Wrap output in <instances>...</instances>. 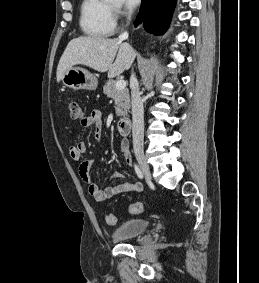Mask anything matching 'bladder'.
<instances>
[{"label":"bladder","instance_id":"31cf9c89","mask_svg":"<svg viewBox=\"0 0 259 283\" xmlns=\"http://www.w3.org/2000/svg\"><path fill=\"white\" fill-rule=\"evenodd\" d=\"M148 221L144 219H129L124 221L113 231V238L117 241L127 240L146 232Z\"/></svg>","mask_w":259,"mask_h":283}]
</instances>
